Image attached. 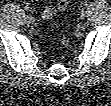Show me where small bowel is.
<instances>
[{
  "mask_svg": "<svg viewBox=\"0 0 111 106\" xmlns=\"http://www.w3.org/2000/svg\"><path fill=\"white\" fill-rule=\"evenodd\" d=\"M67 6V0H60L55 5H48L42 10L41 17L43 19H51L57 12L64 11Z\"/></svg>",
  "mask_w": 111,
  "mask_h": 106,
  "instance_id": "small-bowel-1",
  "label": "small bowel"
}]
</instances>
